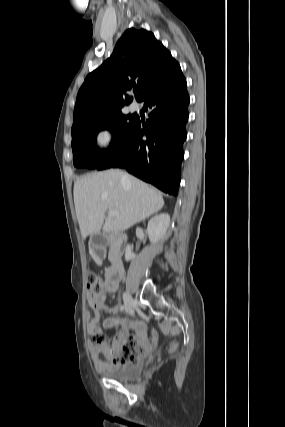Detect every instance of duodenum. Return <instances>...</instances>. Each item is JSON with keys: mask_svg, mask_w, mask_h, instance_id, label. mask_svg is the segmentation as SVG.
Masks as SVG:
<instances>
[{"mask_svg": "<svg viewBox=\"0 0 285 427\" xmlns=\"http://www.w3.org/2000/svg\"><path fill=\"white\" fill-rule=\"evenodd\" d=\"M125 241H126V238L123 236H120L118 238V242L120 246H122ZM111 258H112V264L107 270L106 276L111 281L120 280L124 275V267L121 263L120 248L118 249L117 253L113 251Z\"/></svg>", "mask_w": 285, "mask_h": 427, "instance_id": "410a0bca", "label": "duodenum"}]
</instances>
